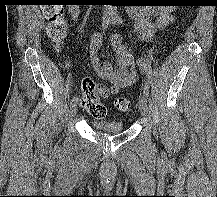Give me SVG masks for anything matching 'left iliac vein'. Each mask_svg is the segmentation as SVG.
<instances>
[{"instance_id":"left-iliac-vein-1","label":"left iliac vein","mask_w":217,"mask_h":197,"mask_svg":"<svg viewBox=\"0 0 217 197\" xmlns=\"http://www.w3.org/2000/svg\"><path fill=\"white\" fill-rule=\"evenodd\" d=\"M138 107L140 112L143 115H146L148 112V106H147V99L144 96H140L139 102H138Z\"/></svg>"}]
</instances>
